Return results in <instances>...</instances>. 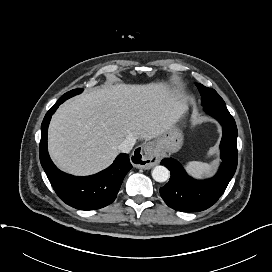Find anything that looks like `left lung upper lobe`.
Instances as JSON below:
<instances>
[{
	"label": "left lung upper lobe",
	"mask_w": 272,
	"mask_h": 272,
	"mask_svg": "<svg viewBox=\"0 0 272 272\" xmlns=\"http://www.w3.org/2000/svg\"><path fill=\"white\" fill-rule=\"evenodd\" d=\"M196 86L198 87L199 92L201 94L202 104L204 108L213 105H225L223 99L214 89L205 87L199 83H196Z\"/></svg>",
	"instance_id": "5c2ea615"
}]
</instances>
